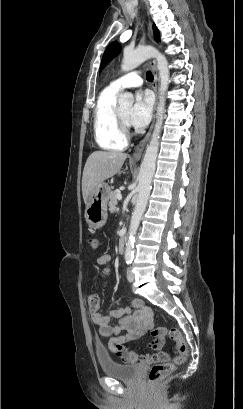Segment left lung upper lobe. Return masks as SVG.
Segmentation results:
<instances>
[{"label":"left lung upper lobe","instance_id":"1","mask_svg":"<svg viewBox=\"0 0 243 409\" xmlns=\"http://www.w3.org/2000/svg\"><path fill=\"white\" fill-rule=\"evenodd\" d=\"M154 29V36L156 40L160 39L159 36V31L156 28V26L154 25L153 27ZM121 47L119 45V43L117 41L112 42L105 50L104 55L102 57V61H101V69L105 67V65L111 61L115 56H117V54L120 52Z\"/></svg>","mask_w":243,"mask_h":409}]
</instances>
